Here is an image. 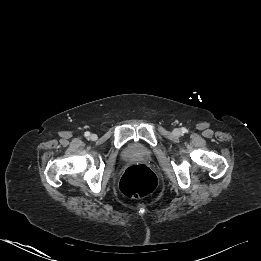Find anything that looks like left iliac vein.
Listing matches in <instances>:
<instances>
[{"mask_svg": "<svg viewBox=\"0 0 261 261\" xmlns=\"http://www.w3.org/2000/svg\"><path fill=\"white\" fill-rule=\"evenodd\" d=\"M173 133L175 136H179L181 134V131L179 129H175Z\"/></svg>", "mask_w": 261, "mask_h": 261, "instance_id": "4c4485c4", "label": "left iliac vein"}]
</instances>
